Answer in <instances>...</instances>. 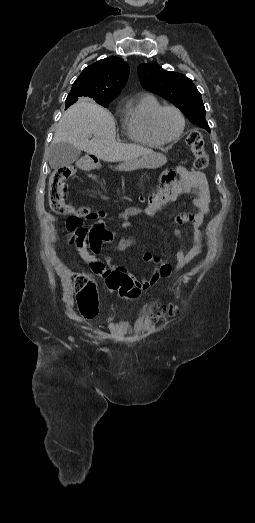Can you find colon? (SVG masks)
<instances>
[{"label": "colon", "instance_id": "obj_1", "mask_svg": "<svg viewBox=\"0 0 255 523\" xmlns=\"http://www.w3.org/2000/svg\"><path fill=\"white\" fill-rule=\"evenodd\" d=\"M186 144L195 157L194 167L197 170L205 169L209 164L208 156L204 149V138L199 131L192 130L186 137ZM75 173L73 166H64L55 169L49 184V205L53 212L60 215H68L70 219L81 223V217L96 218L88 208H74L66 202V181ZM107 286L118 291L120 296L134 299L140 295L141 289L127 274L110 272L105 275ZM77 303L81 314L85 318H92L98 311V296L96 285L92 276L86 272H80L74 279ZM165 314H172L173 309H164Z\"/></svg>", "mask_w": 255, "mask_h": 523}]
</instances>
